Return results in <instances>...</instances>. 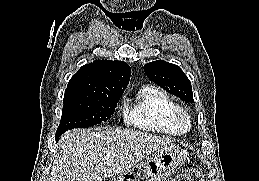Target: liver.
Listing matches in <instances>:
<instances>
[{"instance_id":"1","label":"liver","mask_w":259,"mask_h":181,"mask_svg":"<svg viewBox=\"0 0 259 181\" xmlns=\"http://www.w3.org/2000/svg\"><path fill=\"white\" fill-rule=\"evenodd\" d=\"M173 145L133 130H71L62 135L50 181H103Z\"/></svg>"}]
</instances>
